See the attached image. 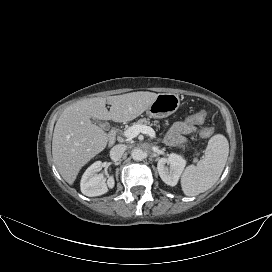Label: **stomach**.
Returning a JSON list of instances; mask_svg holds the SVG:
<instances>
[{"instance_id":"1","label":"stomach","mask_w":272,"mask_h":272,"mask_svg":"<svg viewBox=\"0 0 272 272\" xmlns=\"http://www.w3.org/2000/svg\"><path fill=\"white\" fill-rule=\"evenodd\" d=\"M180 105V98L173 93L158 94L147 109V115L152 118H165L173 114Z\"/></svg>"}]
</instances>
